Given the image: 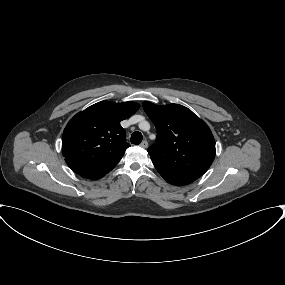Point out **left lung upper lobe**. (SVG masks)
Wrapping results in <instances>:
<instances>
[{
    "instance_id": "1",
    "label": "left lung upper lobe",
    "mask_w": 285,
    "mask_h": 285,
    "mask_svg": "<svg viewBox=\"0 0 285 285\" xmlns=\"http://www.w3.org/2000/svg\"><path fill=\"white\" fill-rule=\"evenodd\" d=\"M143 108L156 127V144L148 149L153 164L196 177L202 176L215 158V140L207 124L179 104Z\"/></svg>"
}]
</instances>
